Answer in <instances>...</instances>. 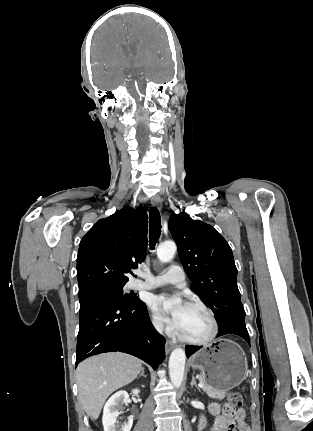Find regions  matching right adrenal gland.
<instances>
[{
    "label": "right adrenal gland",
    "instance_id": "2a0ac1e0",
    "mask_svg": "<svg viewBox=\"0 0 313 431\" xmlns=\"http://www.w3.org/2000/svg\"><path fill=\"white\" fill-rule=\"evenodd\" d=\"M139 376L146 377V375L144 374V368H142V370H141V374H140Z\"/></svg>",
    "mask_w": 313,
    "mask_h": 431
}]
</instances>
